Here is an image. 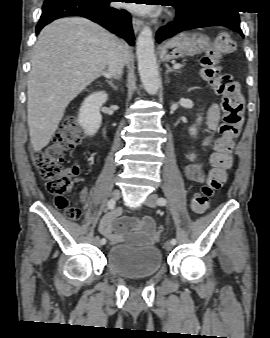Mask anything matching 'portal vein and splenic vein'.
Here are the masks:
<instances>
[{"mask_svg": "<svg viewBox=\"0 0 270 338\" xmlns=\"http://www.w3.org/2000/svg\"><path fill=\"white\" fill-rule=\"evenodd\" d=\"M181 67H182L181 64H175V65L173 66L174 69H179V68H181Z\"/></svg>", "mask_w": 270, "mask_h": 338, "instance_id": "1", "label": "portal vein and splenic vein"}]
</instances>
